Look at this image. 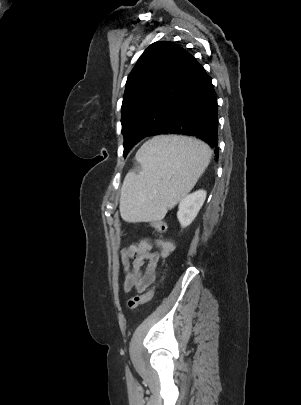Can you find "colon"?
Here are the masks:
<instances>
[{"mask_svg":"<svg viewBox=\"0 0 301 405\" xmlns=\"http://www.w3.org/2000/svg\"><path fill=\"white\" fill-rule=\"evenodd\" d=\"M151 226L157 230L158 232H166L167 231V224L165 222L162 221H155L151 223ZM161 280H159L151 289H149L146 293L141 294V295H136L131 297L128 302H127V306L130 310H134L136 309L138 306L147 303L148 301L151 300V298L154 295V292L157 288V286L159 285Z\"/></svg>","mask_w":301,"mask_h":405,"instance_id":"obj_1","label":"colon"}]
</instances>
